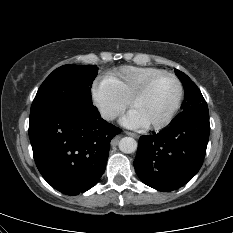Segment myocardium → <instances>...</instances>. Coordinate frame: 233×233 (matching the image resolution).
I'll list each match as a JSON object with an SVG mask.
<instances>
[{"mask_svg":"<svg viewBox=\"0 0 233 233\" xmlns=\"http://www.w3.org/2000/svg\"><path fill=\"white\" fill-rule=\"evenodd\" d=\"M163 77L171 78L176 82L177 87H178V97H177V100H176L174 107L169 112V114L166 116V118H164L160 122L148 124L147 127H149V128L161 129V128L167 126L173 120V118L175 117V115L177 114L179 109L181 108L183 97H184V88H183V84H182L181 80L174 73H171L168 71H162L161 73L153 76L152 78L147 80L144 84H142L137 89V91L131 96V98L128 101V107L131 110L133 108L134 104L138 100H140L148 92V90L151 88V86L156 81H158L159 79H161Z\"/></svg>","mask_w":233,"mask_h":233,"instance_id":"1","label":"myocardium"}]
</instances>
